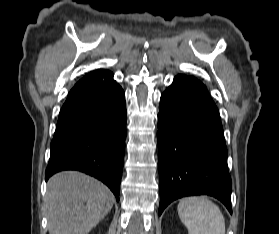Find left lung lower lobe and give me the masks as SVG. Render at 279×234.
Segmentation results:
<instances>
[{"label": "left lung lower lobe", "mask_w": 279, "mask_h": 234, "mask_svg": "<svg viewBox=\"0 0 279 234\" xmlns=\"http://www.w3.org/2000/svg\"><path fill=\"white\" fill-rule=\"evenodd\" d=\"M159 215L172 201L211 195L232 213V182L219 111L196 78L177 75L158 114Z\"/></svg>", "instance_id": "obj_1"}]
</instances>
